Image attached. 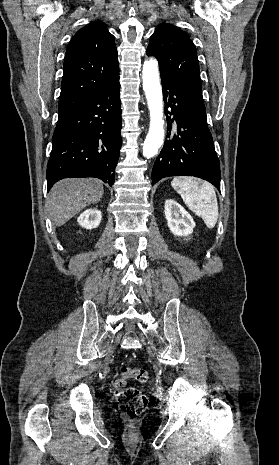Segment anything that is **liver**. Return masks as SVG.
<instances>
[{"label":"liver","mask_w":279,"mask_h":465,"mask_svg":"<svg viewBox=\"0 0 279 465\" xmlns=\"http://www.w3.org/2000/svg\"><path fill=\"white\" fill-rule=\"evenodd\" d=\"M103 191L102 182L93 178H68L57 182L47 199L53 224L64 225L82 209L98 202Z\"/></svg>","instance_id":"6515ba94"}]
</instances>
